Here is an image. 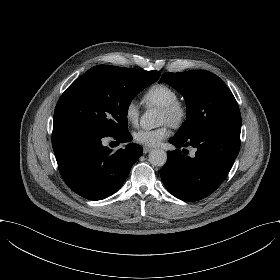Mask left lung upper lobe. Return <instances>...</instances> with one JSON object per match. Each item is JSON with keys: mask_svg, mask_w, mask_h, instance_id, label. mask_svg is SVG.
<instances>
[{"mask_svg": "<svg viewBox=\"0 0 280 280\" xmlns=\"http://www.w3.org/2000/svg\"><path fill=\"white\" fill-rule=\"evenodd\" d=\"M160 82L171 85L186 101L187 119L176 136L187 138L210 128L241 125L238 104L217 75L205 70L164 73Z\"/></svg>", "mask_w": 280, "mask_h": 280, "instance_id": "left-lung-upper-lobe-1", "label": "left lung upper lobe"}]
</instances>
